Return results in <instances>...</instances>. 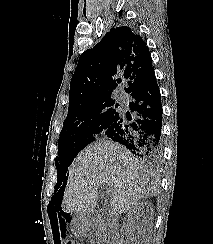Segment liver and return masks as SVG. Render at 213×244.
Here are the masks:
<instances>
[{
	"mask_svg": "<svg viewBox=\"0 0 213 244\" xmlns=\"http://www.w3.org/2000/svg\"><path fill=\"white\" fill-rule=\"evenodd\" d=\"M106 189L115 219L138 200L159 193L157 175L124 147L101 141L86 147L69 169L62 210L81 218L93 213Z\"/></svg>",
	"mask_w": 213,
	"mask_h": 244,
	"instance_id": "liver-1",
	"label": "liver"
}]
</instances>
